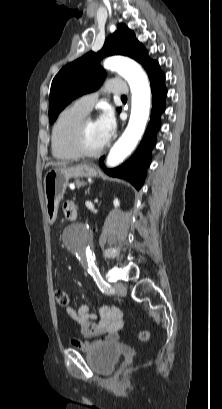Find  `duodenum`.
Instances as JSON below:
<instances>
[{"instance_id":"410a0bca","label":"duodenum","mask_w":222,"mask_h":409,"mask_svg":"<svg viewBox=\"0 0 222 409\" xmlns=\"http://www.w3.org/2000/svg\"><path fill=\"white\" fill-rule=\"evenodd\" d=\"M77 217V211L74 210L69 214V219L74 220Z\"/></svg>"}]
</instances>
